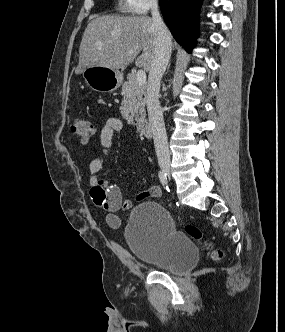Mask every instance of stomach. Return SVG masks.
I'll return each instance as SVG.
<instances>
[{
  "label": "stomach",
  "mask_w": 285,
  "mask_h": 332,
  "mask_svg": "<svg viewBox=\"0 0 285 332\" xmlns=\"http://www.w3.org/2000/svg\"><path fill=\"white\" fill-rule=\"evenodd\" d=\"M87 85L97 92H112L122 82V73L119 70L102 66L88 67L83 71Z\"/></svg>",
  "instance_id": "0dacf381"
}]
</instances>
